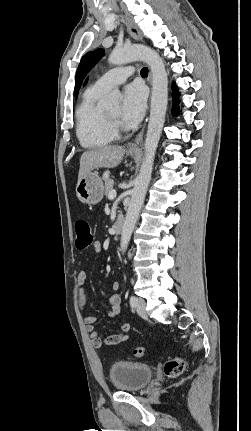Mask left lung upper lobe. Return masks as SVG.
<instances>
[{"label":"left lung upper lobe","mask_w":251,"mask_h":431,"mask_svg":"<svg viewBox=\"0 0 251 431\" xmlns=\"http://www.w3.org/2000/svg\"><path fill=\"white\" fill-rule=\"evenodd\" d=\"M104 52V49H96L94 51L88 52L82 57L76 72L75 97L78 95L79 88L86 74L104 55Z\"/></svg>","instance_id":"left-lung-upper-lobe-1"}]
</instances>
